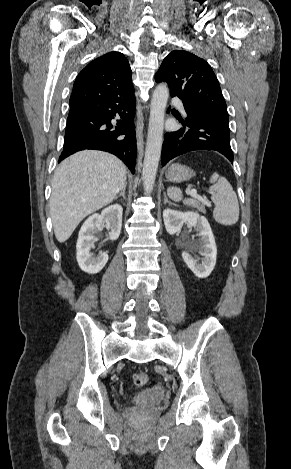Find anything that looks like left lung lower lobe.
I'll return each instance as SVG.
<instances>
[{
	"instance_id": "1",
	"label": "left lung lower lobe",
	"mask_w": 291,
	"mask_h": 469,
	"mask_svg": "<svg viewBox=\"0 0 291 469\" xmlns=\"http://www.w3.org/2000/svg\"><path fill=\"white\" fill-rule=\"evenodd\" d=\"M183 104L187 113L185 120L180 119L183 128L165 134L161 164L164 166L174 157L193 150H215L233 162L228 119Z\"/></svg>"
}]
</instances>
